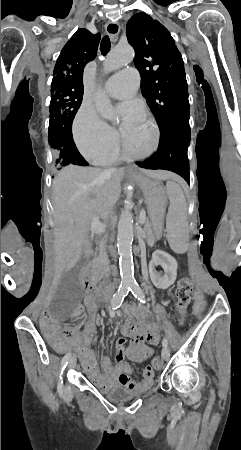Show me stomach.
<instances>
[{"label":"stomach","mask_w":241,"mask_h":450,"mask_svg":"<svg viewBox=\"0 0 241 450\" xmlns=\"http://www.w3.org/2000/svg\"><path fill=\"white\" fill-rule=\"evenodd\" d=\"M133 177L144 193L151 227L154 231V235L159 238L163 231L164 214L167 204V196L164 187L157 179H151L137 174H133Z\"/></svg>","instance_id":"0dacf381"}]
</instances>
